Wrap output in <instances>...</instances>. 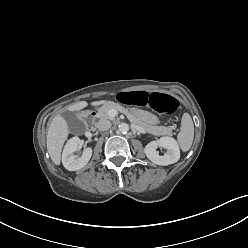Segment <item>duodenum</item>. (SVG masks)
<instances>
[{"instance_id": "410a0bca", "label": "duodenum", "mask_w": 248, "mask_h": 248, "mask_svg": "<svg viewBox=\"0 0 248 248\" xmlns=\"http://www.w3.org/2000/svg\"><path fill=\"white\" fill-rule=\"evenodd\" d=\"M96 116H97V111L95 109H91L85 114L83 119L87 122H91L92 120H94L96 118ZM90 128H91V130H94L95 126L91 125Z\"/></svg>"}]
</instances>
